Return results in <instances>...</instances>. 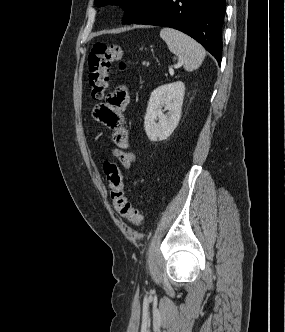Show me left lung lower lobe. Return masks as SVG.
Returning a JSON list of instances; mask_svg holds the SVG:
<instances>
[{
  "label": "left lung lower lobe",
  "mask_w": 285,
  "mask_h": 332,
  "mask_svg": "<svg viewBox=\"0 0 285 332\" xmlns=\"http://www.w3.org/2000/svg\"><path fill=\"white\" fill-rule=\"evenodd\" d=\"M226 0H158L134 23L171 27L198 41L221 64Z\"/></svg>",
  "instance_id": "1"
}]
</instances>
